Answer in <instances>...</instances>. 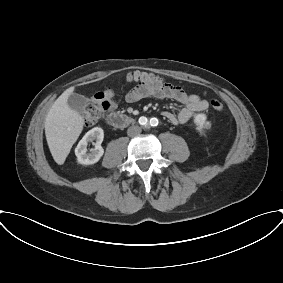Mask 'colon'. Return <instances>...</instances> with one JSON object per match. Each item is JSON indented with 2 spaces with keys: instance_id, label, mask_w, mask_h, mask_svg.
<instances>
[{
  "instance_id": "5ec220e1",
  "label": "colon",
  "mask_w": 283,
  "mask_h": 283,
  "mask_svg": "<svg viewBox=\"0 0 283 283\" xmlns=\"http://www.w3.org/2000/svg\"><path fill=\"white\" fill-rule=\"evenodd\" d=\"M127 78L130 81H135L152 89L158 88L163 84L162 79L158 75L146 72H133ZM209 104L211 109L217 112L222 111L224 108L222 101L216 98L211 99ZM108 108V101L101 94H98L95 97V101L86 107L84 115L85 124L89 127L94 126L103 117Z\"/></svg>"
}]
</instances>
